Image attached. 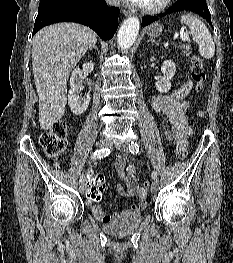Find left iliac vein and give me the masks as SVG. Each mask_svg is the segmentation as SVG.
Segmentation results:
<instances>
[{
	"label": "left iliac vein",
	"instance_id": "4c4485c4",
	"mask_svg": "<svg viewBox=\"0 0 233 263\" xmlns=\"http://www.w3.org/2000/svg\"><path fill=\"white\" fill-rule=\"evenodd\" d=\"M116 147H117L119 150L123 151V152L128 151V143H126V142L117 143V144H116ZM157 190H158V181H157V180H154V181L152 182V184H151V192H152V193H156Z\"/></svg>",
	"mask_w": 233,
	"mask_h": 263
}]
</instances>
